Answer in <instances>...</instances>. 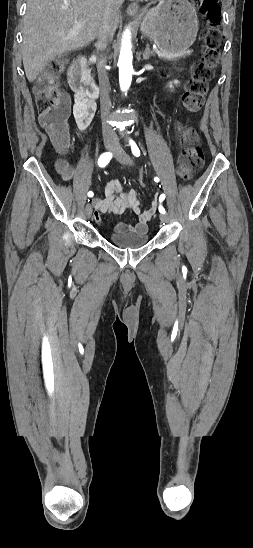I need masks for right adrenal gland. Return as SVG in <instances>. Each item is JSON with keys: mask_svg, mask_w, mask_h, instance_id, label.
Returning a JSON list of instances; mask_svg holds the SVG:
<instances>
[{"mask_svg": "<svg viewBox=\"0 0 253 548\" xmlns=\"http://www.w3.org/2000/svg\"><path fill=\"white\" fill-rule=\"evenodd\" d=\"M94 46H95V48L97 49V47H98V44H97V43H95V44H94Z\"/></svg>", "mask_w": 253, "mask_h": 548, "instance_id": "right-adrenal-gland-1", "label": "right adrenal gland"}]
</instances>
